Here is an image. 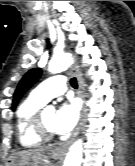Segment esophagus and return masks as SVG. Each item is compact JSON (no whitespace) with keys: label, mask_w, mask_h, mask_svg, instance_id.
Here are the masks:
<instances>
[{"label":"esophagus","mask_w":135,"mask_h":166,"mask_svg":"<svg viewBox=\"0 0 135 166\" xmlns=\"http://www.w3.org/2000/svg\"><path fill=\"white\" fill-rule=\"evenodd\" d=\"M72 71H73V73L75 74V76L77 78L78 86H79L78 95L80 96V98L82 100V109H81L80 119H79V123H78L75 131L71 135V137L66 142L60 144L57 148H55L53 150L55 153H60V152L64 151L72 143L74 138L79 133V131H80L81 127H82L83 121H84V113H85L84 81H83L80 73L74 67H72Z\"/></svg>","instance_id":"1"}]
</instances>
